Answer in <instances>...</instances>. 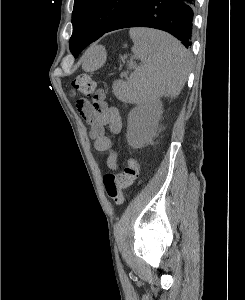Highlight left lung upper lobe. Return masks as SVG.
<instances>
[{"instance_id":"obj_1","label":"left lung upper lobe","mask_w":245,"mask_h":300,"mask_svg":"<svg viewBox=\"0 0 245 300\" xmlns=\"http://www.w3.org/2000/svg\"><path fill=\"white\" fill-rule=\"evenodd\" d=\"M135 0H75L72 12V54L92 37L101 36Z\"/></svg>"}]
</instances>
